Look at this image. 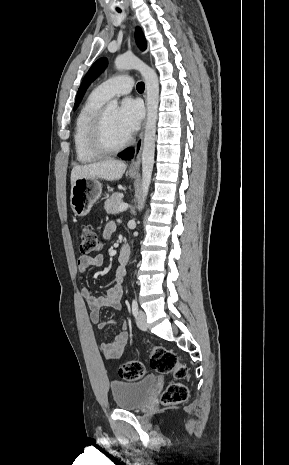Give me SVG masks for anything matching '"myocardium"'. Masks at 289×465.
<instances>
[{
    "instance_id": "1",
    "label": "myocardium",
    "mask_w": 289,
    "mask_h": 465,
    "mask_svg": "<svg viewBox=\"0 0 289 465\" xmlns=\"http://www.w3.org/2000/svg\"><path fill=\"white\" fill-rule=\"evenodd\" d=\"M107 105H103L93 117L89 131V141L91 147L101 154H112L126 148L130 143V138L119 144H111L106 134Z\"/></svg>"
}]
</instances>
